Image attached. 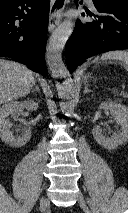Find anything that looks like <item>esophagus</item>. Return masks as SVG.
<instances>
[{
  "mask_svg": "<svg viewBox=\"0 0 128 213\" xmlns=\"http://www.w3.org/2000/svg\"><path fill=\"white\" fill-rule=\"evenodd\" d=\"M67 0H50V11L48 20V30L53 31L60 23L62 12L65 9Z\"/></svg>",
  "mask_w": 128,
  "mask_h": 213,
  "instance_id": "1",
  "label": "esophagus"
}]
</instances>
